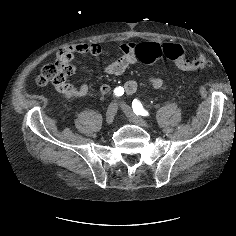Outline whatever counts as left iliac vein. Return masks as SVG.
Returning <instances> with one entry per match:
<instances>
[{"instance_id":"4c4485c4","label":"left iliac vein","mask_w":236,"mask_h":236,"mask_svg":"<svg viewBox=\"0 0 236 236\" xmlns=\"http://www.w3.org/2000/svg\"><path fill=\"white\" fill-rule=\"evenodd\" d=\"M120 106H121L123 112L125 113V115L128 117V119L132 123H134L136 125H139V126H141L143 128H146V129L150 127L149 124L144 119H142L141 117L137 116L132 111V109L128 105H126L124 102H120Z\"/></svg>"}]
</instances>
